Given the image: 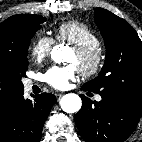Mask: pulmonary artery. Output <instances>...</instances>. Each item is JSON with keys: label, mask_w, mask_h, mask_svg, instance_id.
<instances>
[{"label": "pulmonary artery", "mask_w": 142, "mask_h": 142, "mask_svg": "<svg viewBox=\"0 0 142 142\" xmlns=\"http://www.w3.org/2000/svg\"><path fill=\"white\" fill-rule=\"evenodd\" d=\"M31 86H32V82H31V81L26 82V88H27V89H30ZM96 100H97V101H100V100H101V96H97V97H96Z\"/></svg>", "instance_id": "1"}]
</instances>
